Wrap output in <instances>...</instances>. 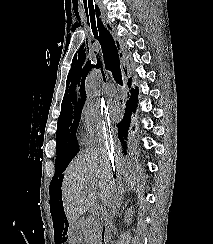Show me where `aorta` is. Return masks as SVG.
Wrapping results in <instances>:
<instances>
[{"instance_id": "obj_1", "label": "aorta", "mask_w": 213, "mask_h": 244, "mask_svg": "<svg viewBox=\"0 0 213 244\" xmlns=\"http://www.w3.org/2000/svg\"><path fill=\"white\" fill-rule=\"evenodd\" d=\"M100 79L99 70H92L86 78L85 91L87 99H94L98 93V82Z\"/></svg>"}]
</instances>
